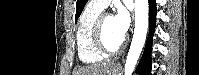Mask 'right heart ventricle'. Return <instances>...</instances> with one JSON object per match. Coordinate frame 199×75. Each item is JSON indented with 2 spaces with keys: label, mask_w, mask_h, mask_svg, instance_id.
<instances>
[{
  "label": "right heart ventricle",
  "mask_w": 199,
  "mask_h": 75,
  "mask_svg": "<svg viewBox=\"0 0 199 75\" xmlns=\"http://www.w3.org/2000/svg\"><path fill=\"white\" fill-rule=\"evenodd\" d=\"M102 9L89 4L82 12L76 30V44L79 59L85 64H95L103 55L95 48L92 40L93 26Z\"/></svg>",
  "instance_id": "e07e8e85"
}]
</instances>
